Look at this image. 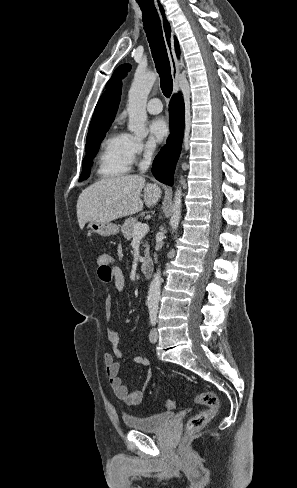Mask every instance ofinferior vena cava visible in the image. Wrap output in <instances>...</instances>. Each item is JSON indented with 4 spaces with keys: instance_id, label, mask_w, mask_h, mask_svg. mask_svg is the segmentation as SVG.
Returning a JSON list of instances; mask_svg holds the SVG:
<instances>
[{
    "instance_id": "1",
    "label": "inferior vena cava",
    "mask_w": 297,
    "mask_h": 488,
    "mask_svg": "<svg viewBox=\"0 0 297 488\" xmlns=\"http://www.w3.org/2000/svg\"><path fill=\"white\" fill-rule=\"evenodd\" d=\"M153 155V148L152 147H145L144 150V159L139 163V169L141 172H145L150 164H151V159Z\"/></svg>"
}]
</instances>
